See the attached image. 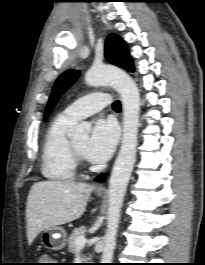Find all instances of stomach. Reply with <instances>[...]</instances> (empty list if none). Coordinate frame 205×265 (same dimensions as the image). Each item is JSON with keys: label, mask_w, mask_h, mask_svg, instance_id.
<instances>
[{"label": "stomach", "mask_w": 205, "mask_h": 265, "mask_svg": "<svg viewBox=\"0 0 205 265\" xmlns=\"http://www.w3.org/2000/svg\"><path fill=\"white\" fill-rule=\"evenodd\" d=\"M97 195L102 196L101 193H97ZM42 241L50 250H62L67 242V234L62 228L52 227L43 232Z\"/></svg>", "instance_id": "0dacf381"}]
</instances>
